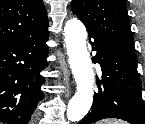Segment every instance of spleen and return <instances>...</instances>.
<instances>
[{
	"instance_id": "obj_1",
	"label": "spleen",
	"mask_w": 145,
	"mask_h": 124,
	"mask_svg": "<svg viewBox=\"0 0 145 124\" xmlns=\"http://www.w3.org/2000/svg\"><path fill=\"white\" fill-rule=\"evenodd\" d=\"M100 124H126L125 122L117 119H110L105 122H101Z\"/></svg>"
}]
</instances>
